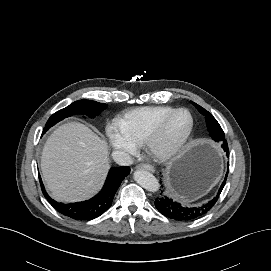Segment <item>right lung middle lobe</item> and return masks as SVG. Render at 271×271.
I'll return each mask as SVG.
<instances>
[{"label": "right lung middle lobe", "mask_w": 271, "mask_h": 271, "mask_svg": "<svg viewBox=\"0 0 271 271\" xmlns=\"http://www.w3.org/2000/svg\"><path fill=\"white\" fill-rule=\"evenodd\" d=\"M106 104L98 103L91 100H78L70 104L64 109H61L54 113L47 121L43 130L44 134L50 127L61 121L62 119L75 114L87 115L90 118L97 116L103 109L106 108Z\"/></svg>", "instance_id": "right-lung-middle-lobe-1"}]
</instances>
